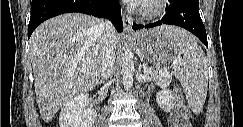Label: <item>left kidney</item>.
Here are the masks:
<instances>
[{"label":"left kidney","instance_id":"left-kidney-1","mask_svg":"<svg viewBox=\"0 0 243 127\" xmlns=\"http://www.w3.org/2000/svg\"><path fill=\"white\" fill-rule=\"evenodd\" d=\"M156 102L163 111L170 112L175 105L172 91L169 89L159 91L156 94Z\"/></svg>","mask_w":243,"mask_h":127}]
</instances>
